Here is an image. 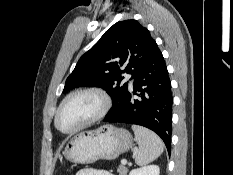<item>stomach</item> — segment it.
I'll use <instances>...</instances> for the list:
<instances>
[{"label":"stomach","mask_w":233,"mask_h":175,"mask_svg":"<svg viewBox=\"0 0 233 175\" xmlns=\"http://www.w3.org/2000/svg\"><path fill=\"white\" fill-rule=\"evenodd\" d=\"M133 143L131 134L123 128L103 125L71 138L62 154L70 162L90 164L97 160H114L127 152Z\"/></svg>","instance_id":"obj_1"}]
</instances>
